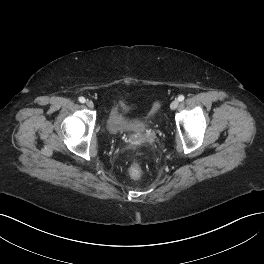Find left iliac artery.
<instances>
[{"label": "left iliac artery", "instance_id": "obj_1", "mask_svg": "<svg viewBox=\"0 0 264 264\" xmlns=\"http://www.w3.org/2000/svg\"><path fill=\"white\" fill-rule=\"evenodd\" d=\"M185 99V97L183 96V95H180L179 97H178V100L179 101H183Z\"/></svg>", "mask_w": 264, "mask_h": 264}]
</instances>
